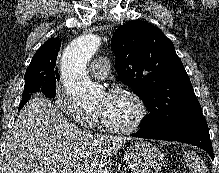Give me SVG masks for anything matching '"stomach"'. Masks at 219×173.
<instances>
[{"instance_id":"0dacf381","label":"stomach","mask_w":219,"mask_h":173,"mask_svg":"<svg viewBox=\"0 0 219 173\" xmlns=\"http://www.w3.org/2000/svg\"><path fill=\"white\" fill-rule=\"evenodd\" d=\"M132 173H157L164 165L163 153L147 141H136L124 155Z\"/></svg>"}]
</instances>
